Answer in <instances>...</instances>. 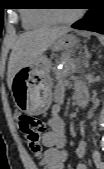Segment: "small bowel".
<instances>
[{"label": "small bowel", "instance_id": "small-bowel-1", "mask_svg": "<svg viewBox=\"0 0 104 169\" xmlns=\"http://www.w3.org/2000/svg\"><path fill=\"white\" fill-rule=\"evenodd\" d=\"M63 87L59 86L56 90V104L50 110L48 118L49 130L45 132L42 138V144L47 148L43 159L40 162L42 169H63L64 163L68 159V152L64 149L65 138V123L60 116L61 101L63 98ZM79 96H87V92L77 86L75 89V98ZM86 142L81 140L76 148V155L83 159L86 153ZM76 169H88L87 165L80 162Z\"/></svg>", "mask_w": 104, "mask_h": 169}]
</instances>
